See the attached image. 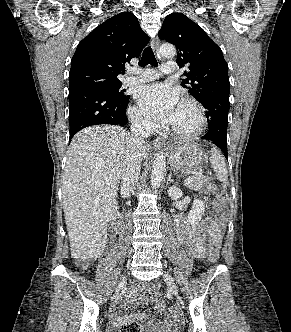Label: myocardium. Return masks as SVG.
<instances>
[{"instance_id": "1", "label": "myocardium", "mask_w": 291, "mask_h": 332, "mask_svg": "<svg viewBox=\"0 0 291 332\" xmlns=\"http://www.w3.org/2000/svg\"><path fill=\"white\" fill-rule=\"evenodd\" d=\"M181 103L190 105L197 116V126L189 131H182L173 126L170 127V132L180 138H194L202 134L207 127V118L202 105L193 98H183Z\"/></svg>"}]
</instances>
